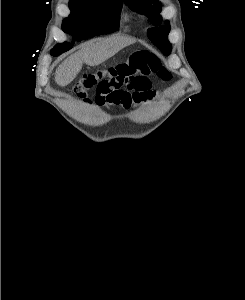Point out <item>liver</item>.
I'll return each mask as SVG.
<instances>
[{
  "label": "liver",
  "instance_id": "obj_1",
  "mask_svg": "<svg viewBox=\"0 0 245 300\" xmlns=\"http://www.w3.org/2000/svg\"><path fill=\"white\" fill-rule=\"evenodd\" d=\"M132 43H134L133 39L116 35L85 44L79 51L70 55L59 65L55 73L56 83L61 87L67 86L76 78L82 69L83 63L89 66H97Z\"/></svg>",
  "mask_w": 245,
  "mask_h": 300
}]
</instances>
